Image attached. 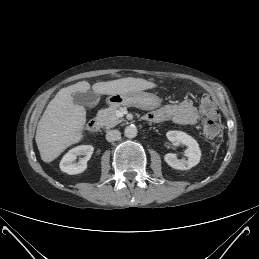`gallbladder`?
Here are the masks:
<instances>
[{"label":"gallbladder","mask_w":259,"mask_h":259,"mask_svg":"<svg viewBox=\"0 0 259 259\" xmlns=\"http://www.w3.org/2000/svg\"><path fill=\"white\" fill-rule=\"evenodd\" d=\"M72 99L75 104L93 108L97 105L99 96L92 91H87L85 93L76 92L72 94Z\"/></svg>","instance_id":"obj_1"}]
</instances>
